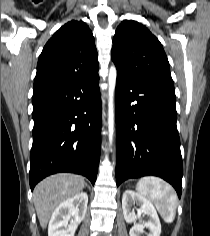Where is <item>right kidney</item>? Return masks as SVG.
Returning <instances> with one entry per match:
<instances>
[{
    "label": "right kidney",
    "instance_id": "1",
    "mask_svg": "<svg viewBox=\"0 0 210 236\" xmlns=\"http://www.w3.org/2000/svg\"><path fill=\"white\" fill-rule=\"evenodd\" d=\"M87 203L88 195L84 192L60 203L49 221L48 236H74L78 225L85 217Z\"/></svg>",
    "mask_w": 210,
    "mask_h": 236
}]
</instances>
